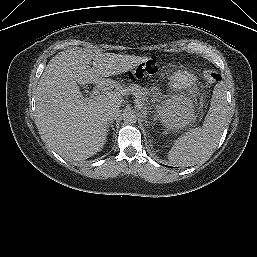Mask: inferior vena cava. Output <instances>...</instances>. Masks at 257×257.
<instances>
[{"instance_id": "1", "label": "inferior vena cava", "mask_w": 257, "mask_h": 257, "mask_svg": "<svg viewBox=\"0 0 257 257\" xmlns=\"http://www.w3.org/2000/svg\"><path fill=\"white\" fill-rule=\"evenodd\" d=\"M121 114V110L119 108H110L106 110L104 113V118L108 122L116 120Z\"/></svg>"}]
</instances>
